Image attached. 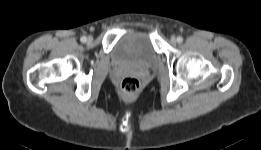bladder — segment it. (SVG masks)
<instances>
[{"instance_id":"31cf9c89","label":"bladder","mask_w":261,"mask_h":150,"mask_svg":"<svg viewBox=\"0 0 261 150\" xmlns=\"http://www.w3.org/2000/svg\"><path fill=\"white\" fill-rule=\"evenodd\" d=\"M115 64L154 68L159 63L150 35L143 31L130 32L121 36L111 50Z\"/></svg>"}]
</instances>
